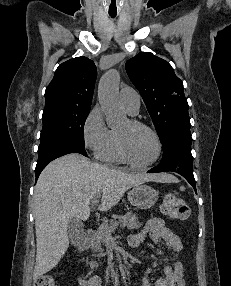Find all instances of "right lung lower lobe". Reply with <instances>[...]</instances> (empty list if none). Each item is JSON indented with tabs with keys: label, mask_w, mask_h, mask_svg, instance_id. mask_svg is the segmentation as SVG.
I'll return each mask as SVG.
<instances>
[{
	"label": "right lung lower lobe",
	"mask_w": 231,
	"mask_h": 286,
	"mask_svg": "<svg viewBox=\"0 0 231 286\" xmlns=\"http://www.w3.org/2000/svg\"><path fill=\"white\" fill-rule=\"evenodd\" d=\"M69 153H80L84 156H87L84 145H80L74 142L55 143L39 151L38 161L35 169L36 180L38 179L41 171L50 161Z\"/></svg>",
	"instance_id": "obj_1"
}]
</instances>
